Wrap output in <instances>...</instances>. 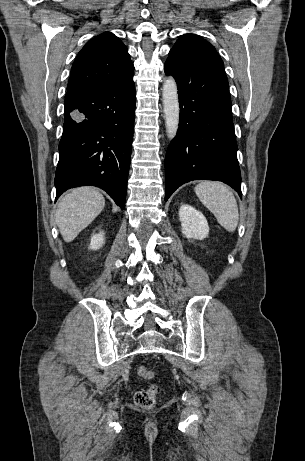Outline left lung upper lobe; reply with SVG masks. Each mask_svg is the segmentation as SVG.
<instances>
[{"label": "left lung upper lobe", "mask_w": 305, "mask_h": 461, "mask_svg": "<svg viewBox=\"0 0 305 461\" xmlns=\"http://www.w3.org/2000/svg\"><path fill=\"white\" fill-rule=\"evenodd\" d=\"M169 58L186 63H223L215 48L195 34L182 35L169 52Z\"/></svg>", "instance_id": "5c2ea615"}]
</instances>
